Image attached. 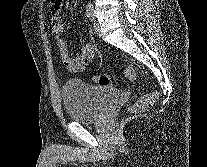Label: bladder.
Segmentation results:
<instances>
[{"mask_svg": "<svg viewBox=\"0 0 207 167\" xmlns=\"http://www.w3.org/2000/svg\"><path fill=\"white\" fill-rule=\"evenodd\" d=\"M61 96L66 113L72 121L92 123L102 118L119 93L113 89L70 79L62 87Z\"/></svg>", "mask_w": 207, "mask_h": 167, "instance_id": "obj_1", "label": "bladder"}]
</instances>
